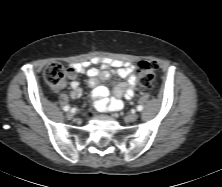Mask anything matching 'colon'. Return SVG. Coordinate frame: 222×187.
Segmentation results:
<instances>
[{
    "mask_svg": "<svg viewBox=\"0 0 222 187\" xmlns=\"http://www.w3.org/2000/svg\"><path fill=\"white\" fill-rule=\"evenodd\" d=\"M157 64L152 61H141L138 64L139 83L141 90L150 89L152 87ZM47 84L55 90L61 89L66 82V74L62 65L58 63L49 64L44 72Z\"/></svg>",
    "mask_w": 222,
    "mask_h": 187,
    "instance_id": "1",
    "label": "colon"
}]
</instances>
